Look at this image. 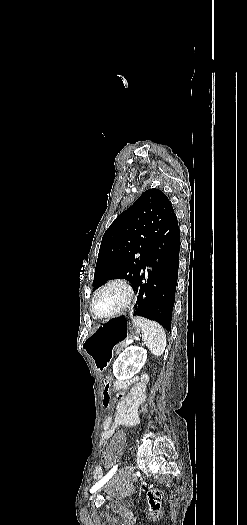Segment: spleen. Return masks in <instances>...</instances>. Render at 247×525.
<instances>
[{
    "label": "spleen",
    "mask_w": 247,
    "mask_h": 525,
    "mask_svg": "<svg viewBox=\"0 0 247 525\" xmlns=\"http://www.w3.org/2000/svg\"><path fill=\"white\" fill-rule=\"evenodd\" d=\"M132 321L137 329H140L144 345L148 347L152 355L161 357L166 349V333L163 327L144 317H132Z\"/></svg>",
    "instance_id": "3e777b00"
}]
</instances>
